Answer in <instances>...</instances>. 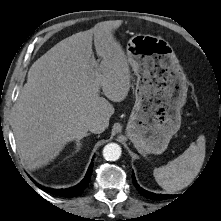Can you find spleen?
I'll use <instances>...</instances> for the list:
<instances>
[{"label":"spleen","mask_w":221,"mask_h":221,"mask_svg":"<svg viewBox=\"0 0 221 221\" xmlns=\"http://www.w3.org/2000/svg\"><path fill=\"white\" fill-rule=\"evenodd\" d=\"M205 136L200 135L183 154L166 166L155 168L153 175L164 190L174 193L188 187L199 174L205 159Z\"/></svg>","instance_id":"spleen-1"}]
</instances>
